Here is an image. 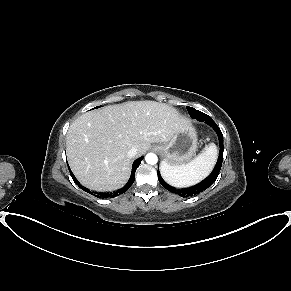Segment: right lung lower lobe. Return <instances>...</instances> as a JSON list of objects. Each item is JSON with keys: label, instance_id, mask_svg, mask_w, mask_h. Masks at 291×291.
Returning a JSON list of instances; mask_svg holds the SVG:
<instances>
[{"label": "right lung lower lobe", "instance_id": "98d812e1", "mask_svg": "<svg viewBox=\"0 0 291 291\" xmlns=\"http://www.w3.org/2000/svg\"><path fill=\"white\" fill-rule=\"evenodd\" d=\"M143 157L137 159L132 166V172H131V176L128 180V182L126 183V185L124 187H122L119 190H116L114 192H105V193H97L98 195H96L97 197H103V198H113L116 197L120 194H123L125 191H127L131 185L133 184V182L135 181V171L137 169V167L140 165L141 161H142ZM70 174L73 178V180L76 182V184L84 191L88 192V193H92L89 189L84 188L82 185H80V183L76 180L75 176L73 175V173L70 171Z\"/></svg>", "mask_w": 291, "mask_h": 291}]
</instances>
